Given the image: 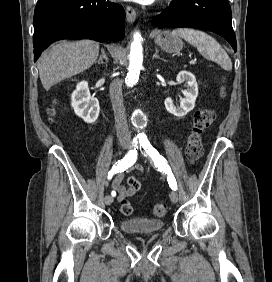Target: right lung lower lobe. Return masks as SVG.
<instances>
[{"label":"right lung lower lobe","mask_w":272,"mask_h":282,"mask_svg":"<svg viewBox=\"0 0 272 282\" xmlns=\"http://www.w3.org/2000/svg\"><path fill=\"white\" fill-rule=\"evenodd\" d=\"M124 21L123 7L109 0H38L34 12V60L61 39L122 40Z\"/></svg>","instance_id":"obj_1"}]
</instances>
